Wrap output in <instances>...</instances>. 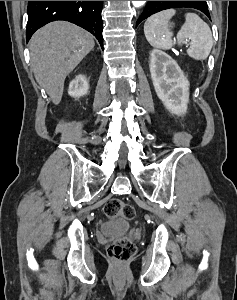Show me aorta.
<instances>
[{"label": "aorta", "mask_w": 237, "mask_h": 300, "mask_svg": "<svg viewBox=\"0 0 237 300\" xmlns=\"http://www.w3.org/2000/svg\"><path fill=\"white\" fill-rule=\"evenodd\" d=\"M146 1H132L133 7H142V5H145Z\"/></svg>", "instance_id": "aorta-1"}]
</instances>
